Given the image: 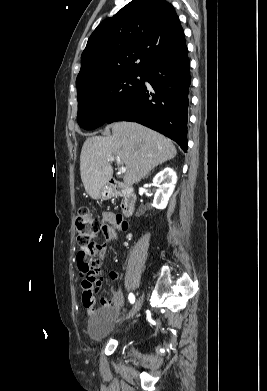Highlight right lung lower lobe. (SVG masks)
<instances>
[{"instance_id":"98d812e1","label":"right lung lower lobe","mask_w":267,"mask_h":391,"mask_svg":"<svg viewBox=\"0 0 267 391\" xmlns=\"http://www.w3.org/2000/svg\"><path fill=\"white\" fill-rule=\"evenodd\" d=\"M150 83L154 92L145 85ZM191 84L189 58L185 45L164 56L143 71L142 87L108 119L133 121L176 141L187 152V118Z\"/></svg>"}]
</instances>
